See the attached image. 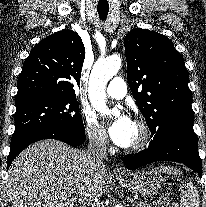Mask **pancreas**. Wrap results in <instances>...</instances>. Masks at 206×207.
Listing matches in <instances>:
<instances>
[{"label": "pancreas", "mask_w": 206, "mask_h": 207, "mask_svg": "<svg viewBox=\"0 0 206 207\" xmlns=\"http://www.w3.org/2000/svg\"><path fill=\"white\" fill-rule=\"evenodd\" d=\"M161 201H154L153 205L148 203V202H144V201H139L138 203H136L135 207H154V205L160 204Z\"/></svg>", "instance_id": "pancreas-1"}]
</instances>
